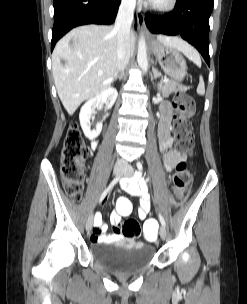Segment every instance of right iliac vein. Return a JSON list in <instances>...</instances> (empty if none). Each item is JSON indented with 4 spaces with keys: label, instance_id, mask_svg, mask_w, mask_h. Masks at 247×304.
I'll list each match as a JSON object with an SVG mask.
<instances>
[{
    "label": "right iliac vein",
    "instance_id": "obj_1",
    "mask_svg": "<svg viewBox=\"0 0 247 304\" xmlns=\"http://www.w3.org/2000/svg\"><path fill=\"white\" fill-rule=\"evenodd\" d=\"M123 171V167L120 165V164H116L114 166V169H113V174L115 176H118L122 173ZM93 219H94V216L93 214H90L89 217L87 218L86 220V231L89 233L91 231V228H92V225H93Z\"/></svg>",
    "mask_w": 247,
    "mask_h": 304
}]
</instances>
